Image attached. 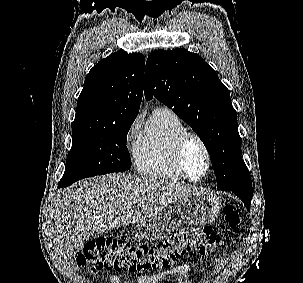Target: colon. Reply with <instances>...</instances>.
<instances>
[{"mask_svg": "<svg viewBox=\"0 0 303 283\" xmlns=\"http://www.w3.org/2000/svg\"><path fill=\"white\" fill-rule=\"evenodd\" d=\"M223 213L229 228L238 232L243 223L239 210L233 205H227ZM219 241L218 232L210 226L188 227L169 238L152 243L99 238L84 246L77 256V263L88 265L93 272H143L169 267L188 253L211 254Z\"/></svg>", "mask_w": 303, "mask_h": 283, "instance_id": "colon-1", "label": "colon"}]
</instances>
